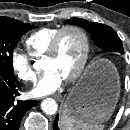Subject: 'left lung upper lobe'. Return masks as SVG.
Segmentation results:
<instances>
[{
	"label": "left lung upper lobe",
	"mask_w": 130,
	"mask_h": 130,
	"mask_svg": "<svg viewBox=\"0 0 130 130\" xmlns=\"http://www.w3.org/2000/svg\"><path fill=\"white\" fill-rule=\"evenodd\" d=\"M65 23L75 24L86 29L90 33L96 46L102 50L106 52L124 53L122 42L119 36L110 26L101 23L90 22L81 18H72L66 20Z\"/></svg>",
	"instance_id": "1"
}]
</instances>
